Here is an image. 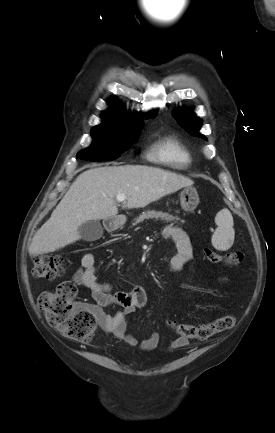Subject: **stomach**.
Segmentation results:
<instances>
[{
	"instance_id": "1",
	"label": "stomach",
	"mask_w": 275,
	"mask_h": 433,
	"mask_svg": "<svg viewBox=\"0 0 275 433\" xmlns=\"http://www.w3.org/2000/svg\"><path fill=\"white\" fill-rule=\"evenodd\" d=\"M180 204L184 211L193 212L199 204V195L195 188L186 187L180 193ZM108 226L115 229L123 225L126 221L125 217H117L110 220Z\"/></svg>"
}]
</instances>
